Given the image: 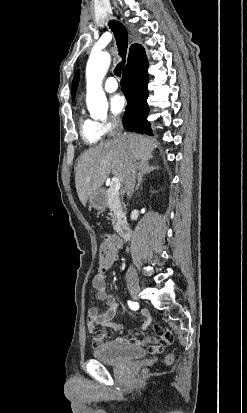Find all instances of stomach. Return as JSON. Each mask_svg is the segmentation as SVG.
<instances>
[{"mask_svg":"<svg viewBox=\"0 0 247 413\" xmlns=\"http://www.w3.org/2000/svg\"><path fill=\"white\" fill-rule=\"evenodd\" d=\"M88 198L90 207H93V209H96V211H105L108 204V196L104 188H98V190L92 192V194H90Z\"/></svg>","mask_w":247,"mask_h":413,"instance_id":"stomach-1","label":"stomach"}]
</instances>
